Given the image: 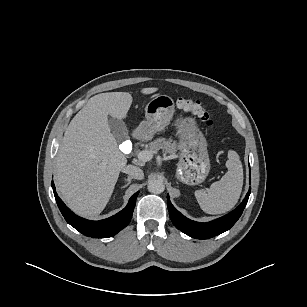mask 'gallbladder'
Returning a JSON list of instances; mask_svg holds the SVG:
<instances>
[{"label": "gallbladder", "instance_id": "1", "mask_svg": "<svg viewBox=\"0 0 307 307\" xmlns=\"http://www.w3.org/2000/svg\"><path fill=\"white\" fill-rule=\"evenodd\" d=\"M108 122L114 137L119 141L125 140L128 134L125 123L122 120L113 117H109Z\"/></svg>", "mask_w": 307, "mask_h": 307}]
</instances>
